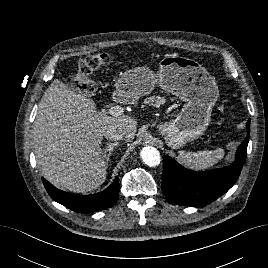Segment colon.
I'll list each match as a JSON object with an SVG mask.
<instances>
[{"mask_svg": "<svg viewBox=\"0 0 268 268\" xmlns=\"http://www.w3.org/2000/svg\"><path fill=\"white\" fill-rule=\"evenodd\" d=\"M110 58L105 53H94L82 58L76 73L67 79L70 88L78 90L87 97H93L96 93V84L92 80V74L106 66Z\"/></svg>", "mask_w": 268, "mask_h": 268, "instance_id": "1", "label": "colon"}]
</instances>
